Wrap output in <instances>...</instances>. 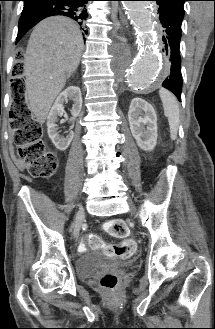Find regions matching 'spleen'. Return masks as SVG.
I'll use <instances>...</instances> for the list:
<instances>
[{"label": "spleen", "instance_id": "spleen-1", "mask_svg": "<svg viewBox=\"0 0 215 329\" xmlns=\"http://www.w3.org/2000/svg\"><path fill=\"white\" fill-rule=\"evenodd\" d=\"M160 98L163 103L164 115L168 118L170 127V137L175 140L179 127V106L176 97L166 89H160Z\"/></svg>", "mask_w": 215, "mask_h": 329}]
</instances>
